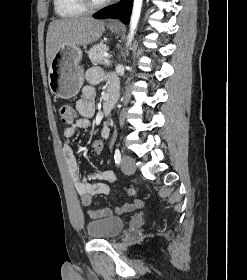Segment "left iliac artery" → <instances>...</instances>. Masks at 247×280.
Returning <instances> with one entry per match:
<instances>
[{
    "mask_svg": "<svg viewBox=\"0 0 247 280\" xmlns=\"http://www.w3.org/2000/svg\"><path fill=\"white\" fill-rule=\"evenodd\" d=\"M114 159H115V163L117 165H119L121 163V153H120V150L117 148L115 149V152H114Z\"/></svg>",
    "mask_w": 247,
    "mask_h": 280,
    "instance_id": "obj_1",
    "label": "left iliac artery"
}]
</instances>
